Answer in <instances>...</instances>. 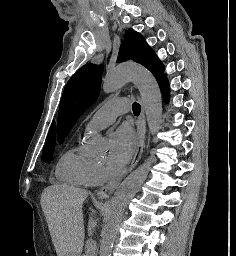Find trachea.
<instances>
[{"instance_id":"1","label":"trachea","mask_w":236,"mask_h":256,"mask_svg":"<svg viewBox=\"0 0 236 256\" xmlns=\"http://www.w3.org/2000/svg\"><path fill=\"white\" fill-rule=\"evenodd\" d=\"M132 109H133L134 115L138 116L141 111V106L135 102V103H133Z\"/></svg>"}]
</instances>
